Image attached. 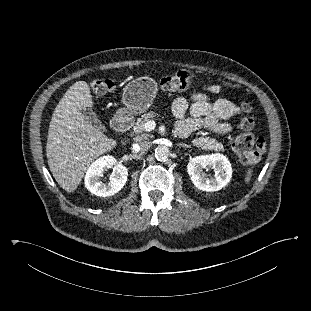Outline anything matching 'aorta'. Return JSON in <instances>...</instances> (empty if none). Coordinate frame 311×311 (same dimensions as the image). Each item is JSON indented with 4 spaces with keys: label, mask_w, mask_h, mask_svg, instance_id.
Segmentation results:
<instances>
[{
    "label": "aorta",
    "mask_w": 311,
    "mask_h": 311,
    "mask_svg": "<svg viewBox=\"0 0 311 311\" xmlns=\"http://www.w3.org/2000/svg\"><path fill=\"white\" fill-rule=\"evenodd\" d=\"M170 156V151L166 146H158L155 149V157L158 161H167Z\"/></svg>",
    "instance_id": "1"
}]
</instances>
